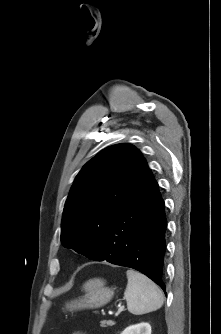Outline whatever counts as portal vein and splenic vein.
<instances>
[{
    "label": "portal vein and splenic vein",
    "mask_w": 221,
    "mask_h": 334,
    "mask_svg": "<svg viewBox=\"0 0 221 334\" xmlns=\"http://www.w3.org/2000/svg\"><path fill=\"white\" fill-rule=\"evenodd\" d=\"M123 308H124L123 306H120L119 309H118V312L115 313V315H118L121 311H123Z\"/></svg>",
    "instance_id": "portal-vein-and-splenic-vein-1"
}]
</instances>
